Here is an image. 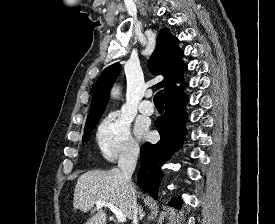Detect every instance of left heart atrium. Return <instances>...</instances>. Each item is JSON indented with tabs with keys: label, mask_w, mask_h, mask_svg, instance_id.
I'll return each mask as SVG.
<instances>
[{
	"label": "left heart atrium",
	"mask_w": 275,
	"mask_h": 224,
	"mask_svg": "<svg viewBox=\"0 0 275 224\" xmlns=\"http://www.w3.org/2000/svg\"><path fill=\"white\" fill-rule=\"evenodd\" d=\"M136 133L139 137H145L146 136V129L143 125L138 124L136 127Z\"/></svg>",
	"instance_id": "obj_1"
}]
</instances>
